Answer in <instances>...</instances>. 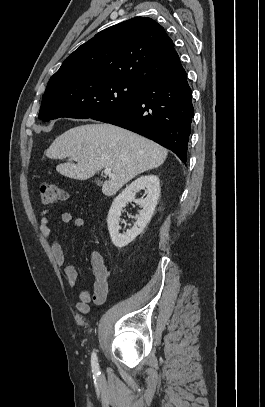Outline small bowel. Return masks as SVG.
Returning a JSON list of instances; mask_svg holds the SVG:
<instances>
[{
  "label": "small bowel",
  "mask_w": 265,
  "mask_h": 407,
  "mask_svg": "<svg viewBox=\"0 0 265 407\" xmlns=\"http://www.w3.org/2000/svg\"><path fill=\"white\" fill-rule=\"evenodd\" d=\"M55 211L53 209H43L40 211L37 222L39 229L48 243L54 261L59 267L64 268V275L66 281L70 286H74L77 282L78 273L73 265H65V254L59 241L53 236L51 228L49 226V219ZM62 223L72 224L75 229H82L85 225V221L81 217L74 218L69 212L59 213ZM92 273L94 275L93 290L88 288L82 289L78 294V301L76 303V309L82 313L87 314L90 309V303L95 305H102L108 295L109 290V272L104 263L102 256L98 253H93L91 257Z\"/></svg>",
  "instance_id": "1"
}]
</instances>
